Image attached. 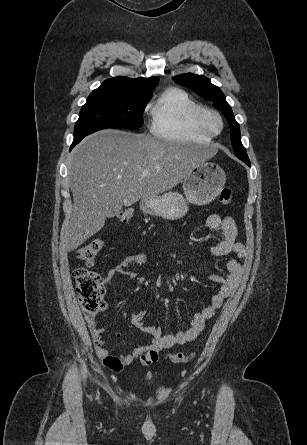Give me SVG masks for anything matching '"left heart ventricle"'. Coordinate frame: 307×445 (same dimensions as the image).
<instances>
[{"label":"left heart ventricle","instance_id":"left-heart-ventricle-1","mask_svg":"<svg viewBox=\"0 0 307 445\" xmlns=\"http://www.w3.org/2000/svg\"><path fill=\"white\" fill-rule=\"evenodd\" d=\"M215 127L216 130L219 131L221 129V124L219 122H216Z\"/></svg>","mask_w":307,"mask_h":445}]
</instances>
